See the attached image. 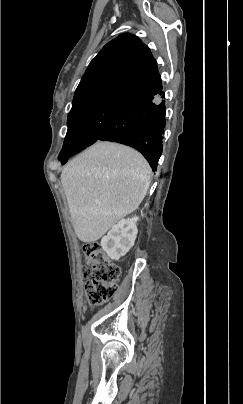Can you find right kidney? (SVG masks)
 Wrapping results in <instances>:
<instances>
[{
  "label": "right kidney",
  "mask_w": 243,
  "mask_h": 404,
  "mask_svg": "<svg viewBox=\"0 0 243 404\" xmlns=\"http://www.w3.org/2000/svg\"><path fill=\"white\" fill-rule=\"evenodd\" d=\"M138 220V216L120 220L118 224L112 226L107 236L102 238L101 246L111 260H120L134 246L138 234L136 226Z\"/></svg>",
  "instance_id": "right-kidney-1"
}]
</instances>
